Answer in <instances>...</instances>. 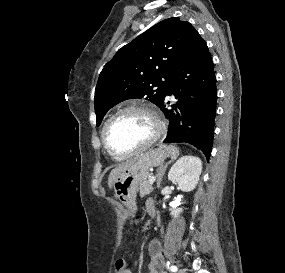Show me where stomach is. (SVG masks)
<instances>
[{
  "instance_id": "0dacf381",
  "label": "stomach",
  "mask_w": 285,
  "mask_h": 273,
  "mask_svg": "<svg viewBox=\"0 0 285 273\" xmlns=\"http://www.w3.org/2000/svg\"><path fill=\"white\" fill-rule=\"evenodd\" d=\"M167 156L168 151L163 147L151 149L119 173L113 186L116 197L124 206L130 210L135 209L138 186L148 178L149 170L160 166Z\"/></svg>"
}]
</instances>
